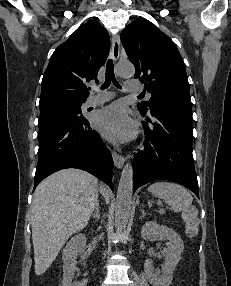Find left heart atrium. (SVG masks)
Listing matches in <instances>:
<instances>
[{"label":"left heart atrium","mask_w":231,"mask_h":286,"mask_svg":"<svg viewBox=\"0 0 231 286\" xmlns=\"http://www.w3.org/2000/svg\"><path fill=\"white\" fill-rule=\"evenodd\" d=\"M94 125L107 139L114 142L130 139L135 131V125L122 103H114L98 111Z\"/></svg>","instance_id":"left-heart-atrium-1"}]
</instances>
